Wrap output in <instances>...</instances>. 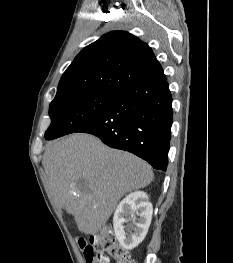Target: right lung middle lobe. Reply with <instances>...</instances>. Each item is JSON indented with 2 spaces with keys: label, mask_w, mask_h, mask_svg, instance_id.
<instances>
[{
  "label": "right lung middle lobe",
  "mask_w": 233,
  "mask_h": 263,
  "mask_svg": "<svg viewBox=\"0 0 233 263\" xmlns=\"http://www.w3.org/2000/svg\"><path fill=\"white\" fill-rule=\"evenodd\" d=\"M116 92L86 90L56 96L50 104L51 125L45 138L76 132L102 114L116 96Z\"/></svg>",
  "instance_id": "right-lung-middle-lobe-1"
}]
</instances>
